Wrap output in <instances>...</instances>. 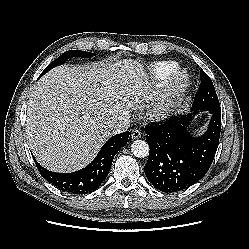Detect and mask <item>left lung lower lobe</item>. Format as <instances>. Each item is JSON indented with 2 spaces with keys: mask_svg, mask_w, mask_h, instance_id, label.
Listing matches in <instances>:
<instances>
[{
  "mask_svg": "<svg viewBox=\"0 0 249 249\" xmlns=\"http://www.w3.org/2000/svg\"><path fill=\"white\" fill-rule=\"evenodd\" d=\"M192 114L200 110H192ZM208 130L200 137L189 134L192 115L175 116L160 125L145 128L150 152L144 172L150 183L163 192L184 190L208 171L218 148L220 109L210 111Z\"/></svg>",
  "mask_w": 249,
  "mask_h": 249,
  "instance_id": "left-lung-lower-lobe-1",
  "label": "left lung lower lobe"
}]
</instances>
